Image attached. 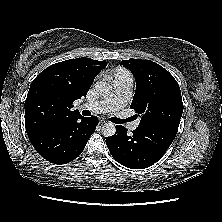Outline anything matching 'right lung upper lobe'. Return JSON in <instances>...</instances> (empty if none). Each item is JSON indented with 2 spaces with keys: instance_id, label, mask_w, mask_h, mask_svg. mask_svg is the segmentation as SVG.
<instances>
[{
  "instance_id": "obj_1",
  "label": "right lung upper lobe",
  "mask_w": 222,
  "mask_h": 222,
  "mask_svg": "<svg viewBox=\"0 0 222 222\" xmlns=\"http://www.w3.org/2000/svg\"><path fill=\"white\" fill-rule=\"evenodd\" d=\"M107 65L104 61L77 58L53 64L31 83L25 101L27 135L49 125L81 117L72 110L73 102L86 96L96 75Z\"/></svg>"
}]
</instances>
